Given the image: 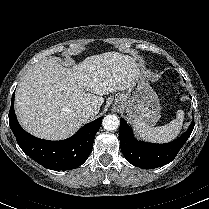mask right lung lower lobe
Returning <instances> with one entry per match:
<instances>
[{"label": "right lung lower lobe", "instance_id": "obj_1", "mask_svg": "<svg viewBox=\"0 0 209 209\" xmlns=\"http://www.w3.org/2000/svg\"><path fill=\"white\" fill-rule=\"evenodd\" d=\"M14 94L9 111V125L20 148L30 158L48 169L68 170L81 166L90 155L102 117L82 127L74 136L63 141H48L25 132L14 111Z\"/></svg>", "mask_w": 209, "mask_h": 209}]
</instances>
